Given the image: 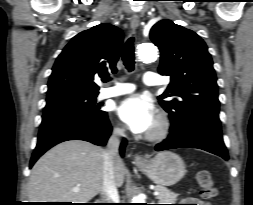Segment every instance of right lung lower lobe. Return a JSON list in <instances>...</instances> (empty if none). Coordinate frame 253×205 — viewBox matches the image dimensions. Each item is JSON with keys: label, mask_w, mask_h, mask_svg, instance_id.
Wrapping results in <instances>:
<instances>
[{"label": "right lung lower lobe", "mask_w": 253, "mask_h": 205, "mask_svg": "<svg viewBox=\"0 0 253 205\" xmlns=\"http://www.w3.org/2000/svg\"><path fill=\"white\" fill-rule=\"evenodd\" d=\"M112 127L104 112L99 116L85 117L72 114L44 115L40 126L37 146L33 152L30 167L54 145L67 140H84L104 146L111 135ZM126 141L120 146L123 156Z\"/></svg>", "instance_id": "98d812e1"}]
</instances>
